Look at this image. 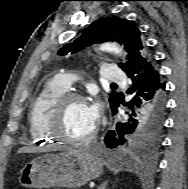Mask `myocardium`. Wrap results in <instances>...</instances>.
<instances>
[{
	"label": "myocardium",
	"instance_id": "myocardium-1",
	"mask_svg": "<svg viewBox=\"0 0 188 189\" xmlns=\"http://www.w3.org/2000/svg\"><path fill=\"white\" fill-rule=\"evenodd\" d=\"M72 102H87L86 98L77 92H65L53 103L47 118V130L50 135L67 144L81 145L91 142L98 133V126L84 137L74 138L62 131V120L68 105Z\"/></svg>",
	"mask_w": 188,
	"mask_h": 189
}]
</instances>
